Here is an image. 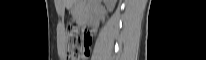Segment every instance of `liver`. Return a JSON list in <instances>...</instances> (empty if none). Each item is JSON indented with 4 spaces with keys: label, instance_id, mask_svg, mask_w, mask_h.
I'll use <instances>...</instances> for the list:
<instances>
[{
    "label": "liver",
    "instance_id": "obj_1",
    "mask_svg": "<svg viewBox=\"0 0 206 60\" xmlns=\"http://www.w3.org/2000/svg\"><path fill=\"white\" fill-rule=\"evenodd\" d=\"M63 4H65L66 6H71L73 3V0H61ZM111 3L114 4L115 0H111Z\"/></svg>",
    "mask_w": 206,
    "mask_h": 60
}]
</instances>
